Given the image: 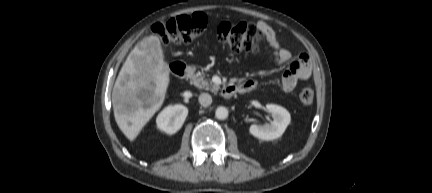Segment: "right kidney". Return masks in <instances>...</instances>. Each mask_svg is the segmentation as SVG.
I'll use <instances>...</instances> for the list:
<instances>
[{
  "label": "right kidney",
  "instance_id": "obj_1",
  "mask_svg": "<svg viewBox=\"0 0 432 193\" xmlns=\"http://www.w3.org/2000/svg\"><path fill=\"white\" fill-rule=\"evenodd\" d=\"M187 115L188 109L183 105L168 106L157 116V127L168 134H174L182 127Z\"/></svg>",
  "mask_w": 432,
  "mask_h": 193
}]
</instances>
